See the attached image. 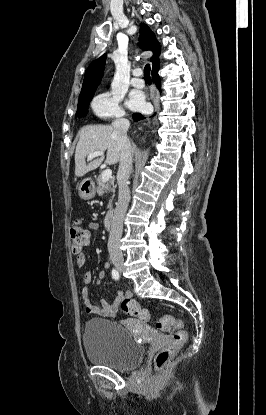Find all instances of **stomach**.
Returning a JSON list of instances; mask_svg holds the SVG:
<instances>
[{
  "instance_id": "obj_1",
  "label": "stomach",
  "mask_w": 266,
  "mask_h": 415,
  "mask_svg": "<svg viewBox=\"0 0 266 415\" xmlns=\"http://www.w3.org/2000/svg\"><path fill=\"white\" fill-rule=\"evenodd\" d=\"M79 196L83 200H90L95 196V184L91 178L84 179L79 185Z\"/></svg>"
}]
</instances>
